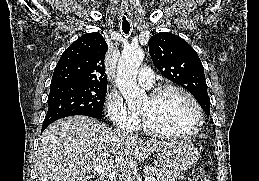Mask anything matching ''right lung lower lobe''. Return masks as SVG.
I'll list each match as a JSON object with an SVG mask.
<instances>
[{
	"instance_id": "obj_1",
	"label": "right lung lower lobe",
	"mask_w": 259,
	"mask_h": 181,
	"mask_svg": "<svg viewBox=\"0 0 259 181\" xmlns=\"http://www.w3.org/2000/svg\"><path fill=\"white\" fill-rule=\"evenodd\" d=\"M49 124H47V125H43L42 126V131L41 132H43L44 131V129L48 126Z\"/></svg>"
}]
</instances>
